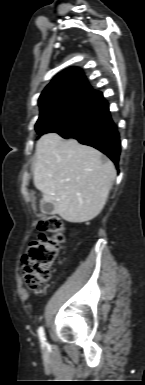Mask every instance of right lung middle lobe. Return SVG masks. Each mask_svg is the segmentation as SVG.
Here are the masks:
<instances>
[{
    "instance_id": "right-lung-middle-lobe-1",
    "label": "right lung middle lobe",
    "mask_w": 145,
    "mask_h": 385,
    "mask_svg": "<svg viewBox=\"0 0 145 385\" xmlns=\"http://www.w3.org/2000/svg\"><path fill=\"white\" fill-rule=\"evenodd\" d=\"M101 96L99 92L72 91L58 95L40 105V116L35 125L39 135L57 132L66 127Z\"/></svg>"
}]
</instances>
